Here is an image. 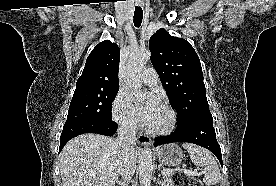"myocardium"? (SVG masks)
Segmentation results:
<instances>
[{
  "label": "myocardium",
  "instance_id": "1",
  "mask_svg": "<svg viewBox=\"0 0 276 186\" xmlns=\"http://www.w3.org/2000/svg\"><path fill=\"white\" fill-rule=\"evenodd\" d=\"M161 106L164 107L169 113V116H170L169 124L166 127L160 128V129H151L148 127L146 131L151 135H166L171 133L176 127L177 114L175 110L168 103H165V102H163Z\"/></svg>",
  "mask_w": 276,
  "mask_h": 186
}]
</instances>
